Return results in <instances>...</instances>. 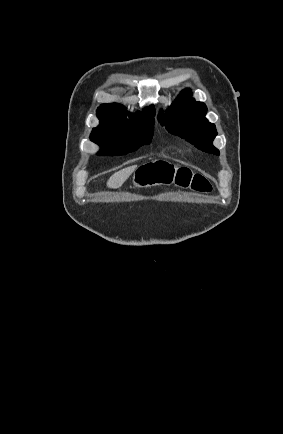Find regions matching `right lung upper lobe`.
I'll use <instances>...</instances> for the list:
<instances>
[{"label":"right lung upper lobe","instance_id":"1","mask_svg":"<svg viewBox=\"0 0 283 434\" xmlns=\"http://www.w3.org/2000/svg\"><path fill=\"white\" fill-rule=\"evenodd\" d=\"M126 113L127 110L120 104H102L97 109L100 125L93 130L132 128L154 123L155 109L153 106L144 109L143 112H138L136 115L129 113V120L126 118Z\"/></svg>","mask_w":283,"mask_h":434}]
</instances>
